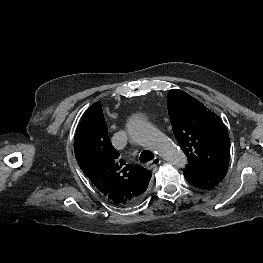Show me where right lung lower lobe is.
I'll list each match as a JSON object with an SVG mask.
<instances>
[{
	"mask_svg": "<svg viewBox=\"0 0 263 263\" xmlns=\"http://www.w3.org/2000/svg\"><path fill=\"white\" fill-rule=\"evenodd\" d=\"M140 199V197L139 198H137V199H135L132 203H134V202H136V201H138Z\"/></svg>",
	"mask_w": 263,
	"mask_h": 263,
	"instance_id": "98d812e1",
	"label": "right lung lower lobe"
}]
</instances>
